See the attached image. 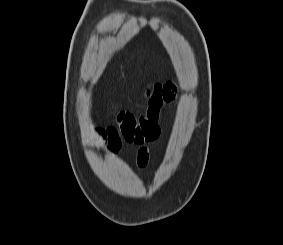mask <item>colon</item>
I'll return each mask as SVG.
<instances>
[{"mask_svg": "<svg viewBox=\"0 0 283 245\" xmlns=\"http://www.w3.org/2000/svg\"><path fill=\"white\" fill-rule=\"evenodd\" d=\"M162 105V85L153 83L146 91V103L143 113L134 115L131 112H117L115 114L116 129L128 142L135 144L154 142L160 133L158 120Z\"/></svg>", "mask_w": 283, "mask_h": 245, "instance_id": "obj_1", "label": "colon"}]
</instances>
